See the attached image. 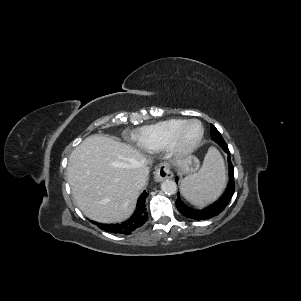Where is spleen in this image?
I'll return each mask as SVG.
<instances>
[{
    "instance_id": "1",
    "label": "spleen",
    "mask_w": 301,
    "mask_h": 301,
    "mask_svg": "<svg viewBox=\"0 0 301 301\" xmlns=\"http://www.w3.org/2000/svg\"><path fill=\"white\" fill-rule=\"evenodd\" d=\"M226 184L224 161L219 151L211 147L197 173L186 176L181 182L185 199L197 206L215 200Z\"/></svg>"
}]
</instances>
